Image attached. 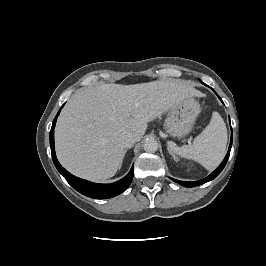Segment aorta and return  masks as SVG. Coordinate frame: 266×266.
<instances>
[{
    "instance_id": "762f6f07",
    "label": "aorta",
    "mask_w": 266,
    "mask_h": 266,
    "mask_svg": "<svg viewBox=\"0 0 266 266\" xmlns=\"http://www.w3.org/2000/svg\"><path fill=\"white\" fill-rule=\"evenodd\" d=\"M144 150L148 153H154L158 150V142L155 139H148L144 142Z\"/></svg>"
}]
</instances>
